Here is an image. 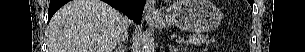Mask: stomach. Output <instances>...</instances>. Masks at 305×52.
Here are the masks:
<instances>
[{
	"mask_svg": "<svg viewBox=\"0 0 305 52\" xmlns=\"http://www.w3.org/2000/svg\"><path fill=\"white\" fill-rule=\"evenodd\" d=\"M222 14L210 0H182L174 11L155 21L158 28L170 25L182 30L201 33L219 26Z\"/></svg>",
	"mask_w": 305,
	"mask_h": 52,
	"instance_id": "1",
	"label": "stomach"
}]
</instances>
